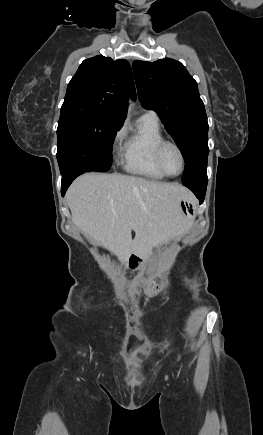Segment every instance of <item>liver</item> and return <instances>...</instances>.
<instances>
[{"instance_id":"1","label":"liver","mask_w":263,"mask_h":435,"mask_svg":"<svg viewBox=\"0 0 263 435\" xmlns=\"http://www.w3.org/2000/svg\"><path fill=\"white\" fill-rule=\"evenodd\" d=\"M188 197L177 183L104 173L78 177L66 194L72 222L123 263L131 254L148 257L153 247L188 231L190 218L179 206Z\"/></svg>"}]
</instances>
